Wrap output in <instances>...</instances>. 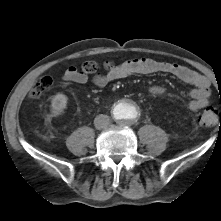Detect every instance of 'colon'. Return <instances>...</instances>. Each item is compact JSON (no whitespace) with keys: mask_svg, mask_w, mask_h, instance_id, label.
<instances>
[{"mask_svg":"<svg viewBox=\"0 0 221 221\" xmlns=\"http://www.w3.org/2000/svg\"><path fill=\"white\" fill-rule=\"evenodd\" d=\"M116 65L111 62L98 63L96 61H86L82 64L81 68L84 73L87 74H97L102 71H110ZM53 79L50 76H43L37 80L32 89L30 90V96L32 98H37L43 93L47 92L53 85ZM218 122L221 123V117L218 115V112L212 108H206L199 116V124L203 127H213Z\"/></svg>","mask_w":221,"mask_h":221,"instance_id":"obj_1","label":"colon"}]
</instances>
